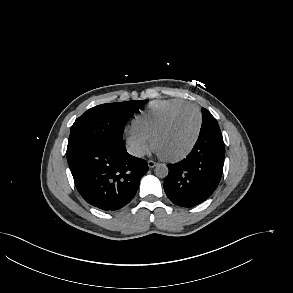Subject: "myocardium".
<instances>
[{
	"instance_id": "myocardium-1",
	"label": "myocardium",
	"mask_w": 293,
	"mask_h": 293,
	"mask_svg": "<svg viewBox=\"0 0 293 293\" xmlns=\"http://www.w3.org/2000/svg\"><path fill=\"white\" fill-rule=\"evenodd\" d=\"M192 109L196 112L197 117H198V125H197V130L195 133V136L191 142V144L188 146V148L186 150H184L182 153L175 155V156H165L160 154L161 158H163L165 161L168 162H177L180 160H183L184 158H186L195 148L201 131H202V126H203V116H202V112L200 110V108L194 104H188V105H184L181 106L177 109H175L173 112H171L166 118L165 120L160 124V126L154 131V133L151 136V144L153 145V147H155V142L157 140V138L159 137V135L161 133H163L168 127L169 125L172 123V121L175 119V117L177 115H179L180 113H182L183 111Z\"/></svg>"
}]
</instances>
